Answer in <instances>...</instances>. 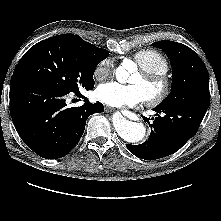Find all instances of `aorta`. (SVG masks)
<instances>
[{
    "mask_svg": "<svg viewBox=\"0 0 221 221\" xmlns=\"http://www.w3.org/2000/svg\"><path fill=\"white\" fill-rule=\"evenodd\" d=\"M135 71V65L127 67L122 65L116 70V79L120 83H126L129 74ZM113 125L118 135L127 142L136 143L146 136V127L143 123L129 121L120 113H116L113 118Z\"/></svg>",
    "mask_w": 221,
    "mask_h": 221,
    "instance_id": "1",
    "label": "aorta"
}]
</instances>
